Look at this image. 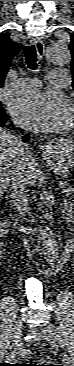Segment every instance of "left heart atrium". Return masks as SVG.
I'll use <instances>...</instances> for the list:
<instances>
[{
  "label": "left heart atrium",
  "mask_w": 74,
  "mask_h": 366,
  "mask_svg": "<svg viewBox=\"0 0 74 366\" xmlns=\"http://www.w3.org/2000/svg\"><path fill=\"white\" fill-rule=\"evenodd\" d=\"M68 102L57 92L46 91L14 102L11 113L15 122L37 131L62 129L69 120Z\"/></svg>",
  "instance_id": "left-heart-atrium-1"
}]
</instances>
